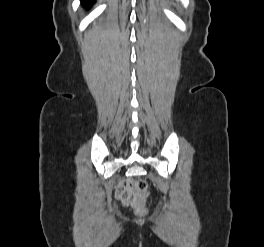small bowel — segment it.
<instances>
[{
	"label": "small bowel",
	"instance_id": "small-bowel-1",
	"mask_svg": "<svg viewBox=\"0 0 264 247\" xmlns=\"http://www.w3.org/2000/svg\"><path fill=\"white\" fill-rule=\"evenodd\" d=\"M131 181L123 180L121 181L116 188V192L118 197L121 199V195L123 194H131L132 193Z\"/></svg>",
	"mask_w": 264,
	"mask_h": 247
}]
</instances>
